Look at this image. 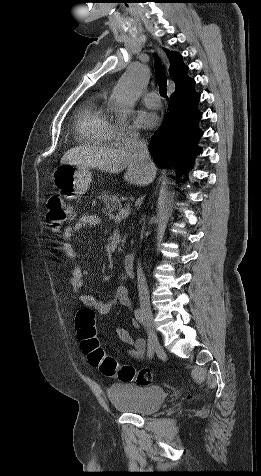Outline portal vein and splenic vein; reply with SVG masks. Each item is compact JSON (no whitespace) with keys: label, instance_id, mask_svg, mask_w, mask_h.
Returning a JSON list of instances; mask_svg holds the SVG:
<instances>
[{"label":"portal vein and splenic vein","instance_id":"portal-vein-and-splenic-vein-1","mask_svg":"<svg viewBox=\"0 0 261 476\" xmlns=\"http://www.w3.org/2000/svg\"><path fill=\"white\" fill-rule=\"evenodd\" d=\"M130 214V207L127 205V207L120 209L115 217V220H121L125 217H127Z\"/></svg>","mask_w":261,"mask_h":476}]
</instances>
